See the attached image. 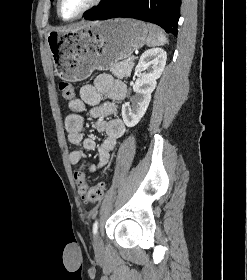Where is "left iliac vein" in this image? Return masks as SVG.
I'll return each mask as SVG.
<instances>
[{
  "instance_id": "4c4485c4",
  "label": "left iliac vein",
  "mask_w": 247,
  "mask_h": 280,
  "mask_svg": "<svg viewBox=\"0 0 247 280\" xmlns=\"http://www.w3.org/2000/svg\"><path fill=\"white\" fill-rule=\"evenodd\" d=\"M93 246L96 251H100L102 249V241L100 239L99 233L94 235Z\"/></svg>"
}]
</instances>
